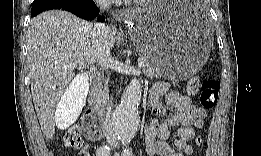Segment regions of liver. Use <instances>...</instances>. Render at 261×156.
I'll use <instances>...</instances> for the list:
<instances>
[{
    "instance_id": "1",
    "label": "liver",
    "mask_w": 261,
    "mask_h": 156,
    "mask_svg": "<svg viewBox=\"0 0 261 156\" xmlns=\"http://www.w3.org/2000/svg\"><path fill=\"white\" fill-rule=\"evenodd\" d=\"M93 23L62 10L46 11L32 19L27 33V63L31 93L41 129L52 139L56 127L66 129L76 120L83 106L81 97L71 99L73 114L65 116L63 108L69 86L75 78L70 63L78 70L93 65L97 59L92 38ZM110 48L116 31L108 27Z\"/></svg>"
}]
</instances>
